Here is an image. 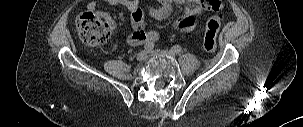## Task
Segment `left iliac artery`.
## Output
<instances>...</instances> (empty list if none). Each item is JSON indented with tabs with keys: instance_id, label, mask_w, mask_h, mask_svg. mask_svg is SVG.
I'll return each mask as SVG.
<instances>
[{
	"instance_id": "44dca946",
	"label": "left iliac artery",
	"mask_w": 303,
	"mask_h": 127,
	"mask_svg": "<svg viewBox=\"0 0 303 127\" xmlns=\"http://www.w3.org/2000/svg\"><path fill=\"white\" fill-rule=\"evenodd\" d=\"M171 51L174 52L175 54H179L182 51V48L179 45H175L171 48Z\"/></svg>"
}]
</instances>
